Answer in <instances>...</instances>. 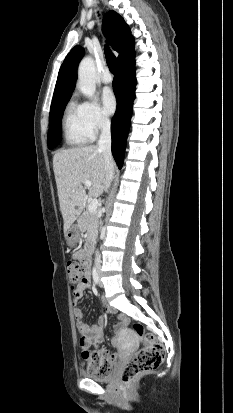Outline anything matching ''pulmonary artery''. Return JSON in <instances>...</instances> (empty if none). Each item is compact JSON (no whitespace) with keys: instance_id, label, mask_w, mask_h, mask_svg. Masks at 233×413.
Returning <instances> with one entry per match:
<instances>
[{"instance_id":"e3ab8cb5","label":"pulmonary artery","mask_w":233,"mask_h":413,"mask_svg":"<svg viewBox=\"0 0 233 413\" xmlns=\"http://www.w3.org/2000/svg\"><path fill=\"white\" fill-rule=\"evenodd\" d=\"M101 81L105 84H109L112 82V75L109 70L106 68L101 74Z\"/></svg>"}]
</instances>
